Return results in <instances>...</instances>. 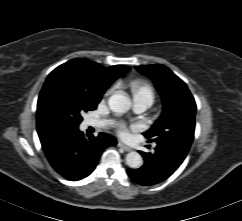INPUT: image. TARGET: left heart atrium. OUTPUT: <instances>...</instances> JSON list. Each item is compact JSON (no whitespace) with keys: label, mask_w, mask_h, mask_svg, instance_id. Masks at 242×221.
<instances>
[{"label":"left heart atrium","mask_w":242,"mask_h":221,"mask_svg":"<svg viewBox=\"0 0 242 221\" xmlns=\"http://www.w3.org/2000/svg\"><path fill=\"white\" fill-rule=\"evenodd\" d=\"M118 131H119V133H120L122 136H126V134H127V130H126V127H125L124 125H120V126L118 127Z\"/></svg>","instance_id":"1"}]
</instances>
